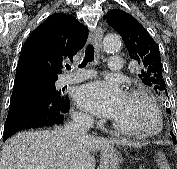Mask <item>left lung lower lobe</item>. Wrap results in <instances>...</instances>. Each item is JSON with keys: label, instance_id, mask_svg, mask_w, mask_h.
<instances>
[{"label": "left lung lower lobe", "instance_id": "left-lung-lower-lobe-1", "mask_svg": "<svg viewBox=\"0 0 177 169\" xmlns=\"http://www.w3.org/2000/svg\"><path fill=\"white\" fill-rule=\"evenodd\" d=\"M173 142L176 144V139H173Z\"/></svg>", "mask_w": 177, "mask_h": 169}]
</instances>
